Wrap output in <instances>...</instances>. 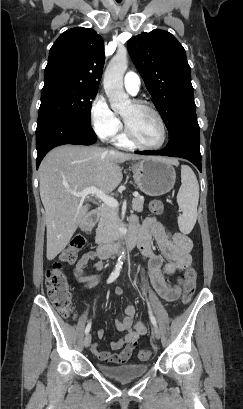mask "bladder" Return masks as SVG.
<instances>
[{
  "label": "bladder",
  "mask_w": 243,
  "mask_h": 409,
  "mask_svg": "<svg viewBox=\"0 0 243 409\" xmlns=\"http://www.w3.org/2000/svg\"><path fill=\"white\" fill-rule=\"evenodd\" d=\"M96 368L100 374L118 381H129L137 379L144 376L148 371L147 364L137 363L109 366L97 362Z\"/></svg>",
  "instance_id": "obj_1"
}]
</instances>
